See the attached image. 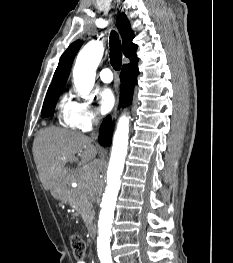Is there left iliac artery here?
<instances>
[{
    "label": "left iliac artery",
    "instance_id": "left-iliac-artery-1",
    "mask_svg": "<svg viewBox=\"0 0 233 263\" xmlns=\"http://www.w3.org/2000/svg\"><path fill=\"white\" fill-rule=\"evenodd\" d=\"M101 263H113L112 261H104V262H101Z\"/></svg>",
    "mask_w": 233,
    "mask_h": 263
}]
</instances>
